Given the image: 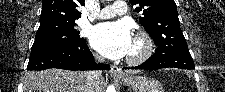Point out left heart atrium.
I'll list each match as a JSON object with an SVG mask.
<instances>
[{
  "label": "left heart atrium",
  "instance_id": "left-heart-atrium-1",
  "mask_svg": "<svg viewBox=\"0 0 225 92\" xmlns=\"http://www.w3.org/2000/svg\"><path fill=\"white\" fill-rule=\"evenodd\" d=\"M90 42L101 55L109 59H120L131 50L132 31L124 20L101 23L91 30Z\"/></svg>",
  "mask_w": 225,
  "mask_h": 92
}]
</instances>
